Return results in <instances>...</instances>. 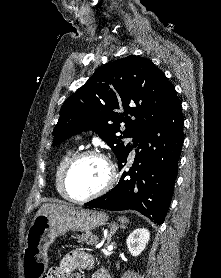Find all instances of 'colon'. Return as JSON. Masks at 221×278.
Returning <instances> with one entry per match:
<instances>
[{"instance_id":"obj_1","label":"colon","mask_w":221,"mask_h":278,"mask_svg":"<svg viewBox=\"0 0 221 278\" xmlns=\"http://www.w3.org/2000/svg\"><path fill=\"white\" fill-rule=\"evenodd\" d=\"M53 276L55 275V267L50 272Z\"/></svg>"}]
</instances>
